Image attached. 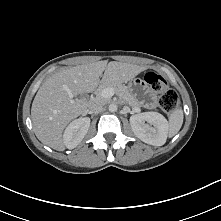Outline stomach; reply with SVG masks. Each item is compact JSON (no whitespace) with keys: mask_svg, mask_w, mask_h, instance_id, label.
<instances>
[{"mask_svg":"<svg viewBox=\"0 0 221 221\" xmlns=\"http://www.w3.org/2000/svg\"><path fill=\"white\" fill-rule=\"evenodd\" d=\"M147 84L141 78H134L128 83V90L138 100L142 101L147 91Z\"/></svg>","mask_w":221,"mask_h":221,"instance_id":"0dacf381","label":"stomach"}]
</instances>
